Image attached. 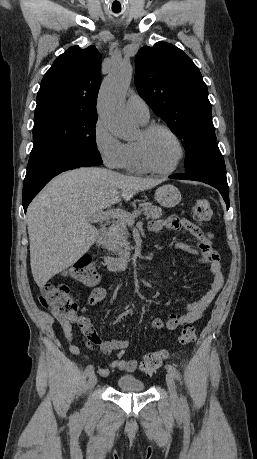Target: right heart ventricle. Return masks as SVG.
<instances>
[{"label": "right heart ventricle", "instance_id": "e07e8e85", "mask_svg": "<svg viewBox=\"0 0 257 459\" xmlns=\"http://www.w3.org/2000/svg\"><path fill=\"white\" fill-rule=\"evenodd\" d=\"M141 124H146V122H142L137 120ZM126 145V158L123 164V168L126 169L128 172L132 173H145L147 170L141 165L134 142H128Z\"/></svg>", "mask_w": 257, "mask_h": 459}]
</instances>
